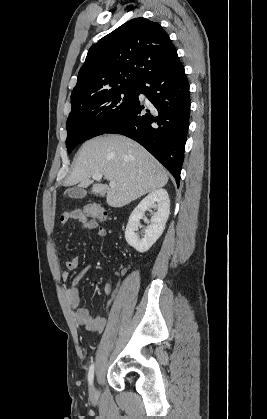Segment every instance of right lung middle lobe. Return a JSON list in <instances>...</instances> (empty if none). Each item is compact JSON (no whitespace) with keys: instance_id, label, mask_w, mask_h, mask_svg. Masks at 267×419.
Instances as JSON below:
<instances>
[{"instance_id":"obj_1","label":"right lung middle lobe","mask_w":267,"mask_h":419,"mask_svg":"<svg viewBox=\"0 0 267 419\" xmlns=\"http://www.w3.org/2000/svg\"><path fill=\"white\" fill-rule=\"evenodd\" d=\"M138 98V87H127L97 93L74 104L67 119L68 153L80 143L105 133L119 121Z\"/></svg>"}]
</instances>
